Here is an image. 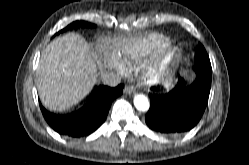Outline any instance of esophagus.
<instances>
[{"label": "esophagus", "instance_id": "1", "mask_svg": "<svg viewBox=\"0 0 249 165\" xmlns=\"http://www.w3.org/2000/svg\"><path fill=\"white\" fill-rule=\"evenodd\" d=\"M124 92L128 95H131L136 92V89L133 86L129 85L124 88Z\"/></svg>", "mask_w": 249, "mask_h": 165}]
</instances>
